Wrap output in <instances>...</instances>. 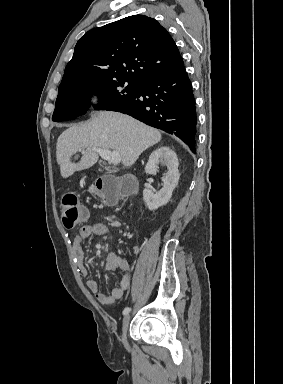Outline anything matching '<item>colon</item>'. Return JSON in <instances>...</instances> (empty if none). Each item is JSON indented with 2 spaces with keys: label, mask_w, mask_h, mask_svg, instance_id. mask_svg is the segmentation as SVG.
Listing matches in <instances>:
<instances>
[{
  "label": "colon",
  "mask_w": 283,
  "mask_h": 384,
  "mask_svg": "<svg viewBox=\"0 0 283 384\" xmlns=\"http://www.w3.org/2000/svg\"><path fill=\"white\" fill-rule=\"evenodd\" d=\"M131 181L114 177L99 178L92 186V191L107 204H115L130 188ZM62 222L67 229H72L87 219L74 194H66L61 201Z\"/></svg>",
  "instance_id": "colon-1"
}]
</instances>
